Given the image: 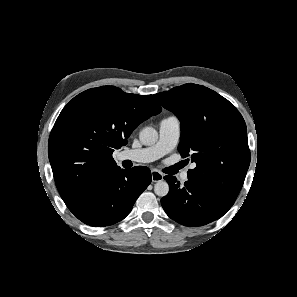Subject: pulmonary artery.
Returning a JSON list of instances; mask_svg holds the SVG:
<instances>
[{
	"label": "pulmonary artery",
	"instance_id": "pulmonary-artery-1",
	"mask_svg": "<svg viewBox=\"0 0 297 297\" xmlns=\"http://www.w3.org/2000/svg\"><path fill=\"white\" fill-rule=\"evenodd\" d=\"M180 137V121L175 116H170L163 119L159 124L158 141L149 147L141 149H132L124 151L120 154V160H131L139 163L153 162L168 152L172 151ZM181 180H188L187 172L181 174Z\"/></svg>",
	"mask_w": 297,
	"mask_h": 297
}]
</instances>
